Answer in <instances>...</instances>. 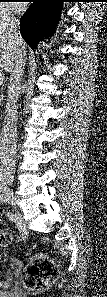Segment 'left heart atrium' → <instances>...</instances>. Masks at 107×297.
I'll list each match as a JSON object with an SVG mask.
<instances>
[{"label":"left heart atrium","instance_id":"obj_1","mask_svg":"<svg viewBox=\"0 0 107 297\" xmlns=\"http://www.w3.org/2000/svg\"><path fill=\"white\" fill-rule=\"evenodd\" d=\"M11 9L16 12H22L24 10V5L22 3H12L10 4Z\"/></svg>","mask_w":107,"mask_h":297}]
</instances>
